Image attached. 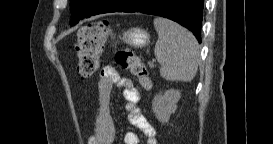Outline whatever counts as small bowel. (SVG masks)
Listing matches in <instances>:
<instances>
[{
	"label": "small bowel",
	"instance_id": "c3829d8e",
	"mask_svg": "<svg viewBox=\"0 0 273 144\" xmlns=\"http://www.w3.org/2000/svg\"><path fill=\"white\" fill-rule=\"evenodd\" d=\"M114 86L123 92L128 122L147 138V144H156V131L138 106L140 100L138 89L131 79L120 75L113 66L104 67L97 81L100 109L96 119L95 133L89 138L88 143L113 144L115 141V126L108 107L111 90ZM139 142V136L135 132H127L124 136L125 144H139Z\"/></svg>",
	"mask_w": 273,
	"mask_h": 144
}]
</instances>
